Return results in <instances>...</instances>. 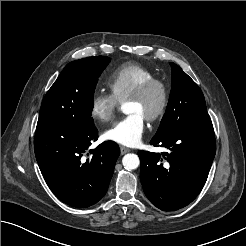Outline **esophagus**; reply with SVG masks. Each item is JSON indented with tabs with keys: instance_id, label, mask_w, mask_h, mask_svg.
<instances>
[{
	"instance_id": "1",
	"label": "esophagus",
	"mask_w": 246,
	"mask_h": 246,
	"mask_svg": "<svg viewBox=\"0 0 246 246\" xmlns=\"http://www.w3.org/2000/svg\"><path fill=\"white\" fill-rule=\"evenodd\" d=\"M130 151L131 150L129 148H126V147H123V146L120 147V152H121L122 155L126 154V153H128Z\"/></svg>"
}]
</instances>
